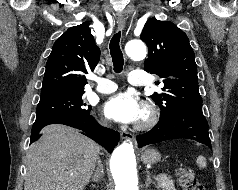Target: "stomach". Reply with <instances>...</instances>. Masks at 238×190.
Masks as SVG:
<instances>
[{
  "instance_id": "1",
  "label": "stomach",
  "mask_w": 238,
  "mask_h": 190,
  "mask_svg": "<svg viewBox=\"0 0 238 190\" xmlns=\"http://www.w3.org/2000/svg\"><path fill=\"white\" fill-rule=\"evenodd\" d=\"M161 160V154L155 150L147 148L141 153V161L145 164H156Z\"/></svg>"
}]
</instances>
